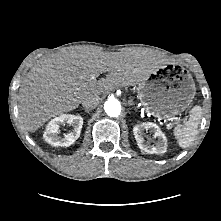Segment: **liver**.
Wrapping results in <instances>:
<instances>
[{
  "mask_svg": "<svg viewBox=\"0 0 221 221\" xmlns=\"http://www.w3.org/2000/svg\"><path fill=\"white\" fill-rule=\"evenodd\" d=\"M158 68L155 57L139 52L84 48L51 54L30 69L19 89L20 119L34 132L52 117L76 109L87 96L133 86ZM105 72L106 78L97 80Z\"/></svg>",
  "mask_w": 221,
  "mask_h": 221,
  "instance_id": "6515ba94",
  "label": "liver"
}]
</instances>
